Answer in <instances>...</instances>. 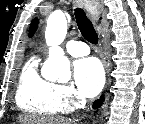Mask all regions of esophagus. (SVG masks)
<instances>
[{
	"label": "esophagus",
	"mask_w": 145,
	"mask_h": 124,
	"mask_svg": "<svg viewBox=\"0 0 145 124\" xmlns=\"http://www.w3.org/2000/svg\"><path fill=\"white\" fill-rule=\"evenodd\" d=\"M91 6L92 7L90 8L86 5V10H87L88 15H89L90 19L92 20V22L96 23L99 19V15H100L102 8L98 1H92Z\"/></svg>",
	"instance_id": "34e87169"
}]
</instances>
